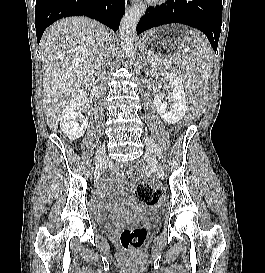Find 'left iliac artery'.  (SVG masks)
Listing matches in <instances>:
<instances>
[{
  "label": "left iliac artery",
  "mask_w": 265,
  "mask_h": 273,
  "mask_svg": "<svg viewBox=\"0 0 265 273\" xmlns=\"http://www.w3.org/2000/svg\"><path fill=\"white\" fill-rule=\"evenodd\" d=\"M152 151H155V152H157L158 154H159V149H155V148H152Z\"/></svg>",
  "instance_id": "44dca946"
}]
</instances>
